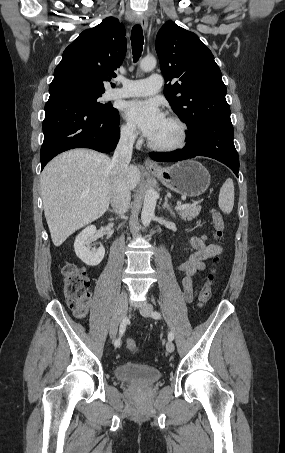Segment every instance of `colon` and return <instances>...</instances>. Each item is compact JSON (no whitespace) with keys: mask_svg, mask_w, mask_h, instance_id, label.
<instances>
[{"mask_svg":"<svg viewBox=\"0 0 285 453\" xmlns=\"http://www.w3.org/2000/svg\"><path fill=\"white\" fill-rule=\"evenodd\" d=\"M213 225L216 230V234L222 237L225 231V223L223 216L217 210L212 211ZM218 258L214 259L216 263ZM63 276V293L65 300L69 308L77 316H85L90 304V292H89V279L87 272L84 268L78 266L72 262H66L61 269ZM215 279V271L212 270L206 277V280L199 292L198 303L200 306H204L210 299L212 293V285ZM126 347L136 352L138 345L134 339L126 340Z\"/></svg>","mask_w":285,"mask_h":453,"instance_id":"colon-1","label":"colon"}]
</instances>
